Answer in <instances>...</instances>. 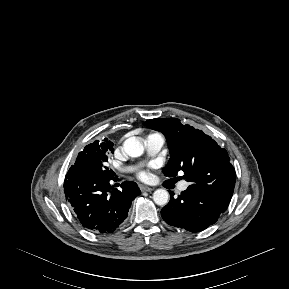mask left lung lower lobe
Masks as SVG:
<instances>
[{
    "label": "left lung lower lobe",
    "mask_w": 289,
    "mask_h": 289,
    "mask_svg": "<svg viewBox=\"0 0 289 289\" xmlns=\"http://www.w3.org/2000/svg\"><path fill=\"white\" fill-rule=\"evenodd\" d=\"M161 210L164 221L174 227L191 232H200L214 224L228 207L229 202L217 196L191 188L174 198Z\"/></svg>",
    "instance_id": "obj_1"
}]
</instances>
